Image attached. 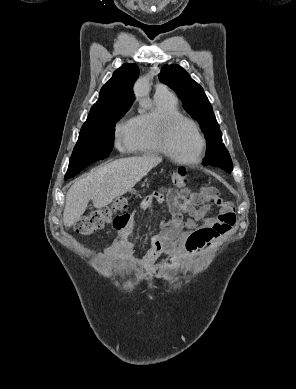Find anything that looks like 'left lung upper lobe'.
<instances>
[{"label":"left lung upper lobe","mask_w":296,"mask_h":389,"mask_svg":"<svg viewBox=\"0 0 296 389\" xmlns=\"http://www.w3.org/2000/svg\"><path fill=\"white\" fill-rule=\"evenodd\" d=\"M160 81L172 88L182 100L185 110L200 124L207 140L206 157L203 165L218 166L230 173L232 161L222 144V134L212 106L203 88L191 79L179 65H164L158 75Z\"/></svg>","instance_id":"5c2ea615"}]
</instances>
